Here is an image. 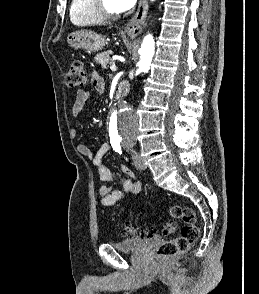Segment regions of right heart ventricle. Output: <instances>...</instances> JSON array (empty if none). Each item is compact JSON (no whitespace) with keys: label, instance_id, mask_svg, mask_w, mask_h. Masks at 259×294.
I'll use <instances>...</instances> for the list:
<instances>
[{"label":"right heart ventricle","instance_id":"obj_1","mask_svg":"<svg viewBox=\"0 0 259 294\" xmlns=\"http://www.w3.org/2000/svg\"><path fill=\"white\" fill-rule=\"evenodd\" d=\"M69 16L75 26H90L102 22L92 9V0H72Z\"/></svg>","mask_w":259,"mask_h":294}]
</instances>
